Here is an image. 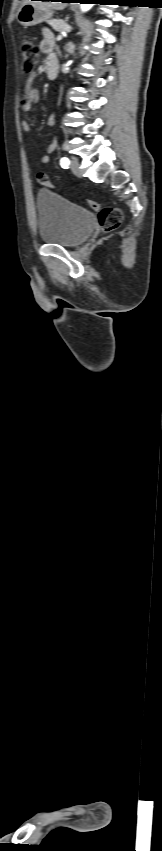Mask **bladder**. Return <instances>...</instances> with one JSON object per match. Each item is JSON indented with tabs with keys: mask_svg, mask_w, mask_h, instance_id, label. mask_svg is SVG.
Segmentation results:
<instances>
[{
	"mask_svg": "<svg viewBox=\"0 0 162 851\" xmlns=\"http://www.w3.org/2000/svg\"><path fill=\"white\" fill-rule=\"evenodd\" d=\"M39 237L45 244L75 247L84 242L95 225L94 214L43 188L36 196Z\"/></svg>",
	"mask_w": 162,
	"mask_h": 851,
	"instance_id": "1",
	"label": "bladder"
}]
</instances>
